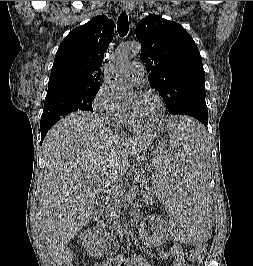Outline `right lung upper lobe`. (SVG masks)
Wrapping results in <instances>:
<instances>
[{
	"mask_svg": "<svg viewBox=\"0 0 253 266\" xmlns=\"http://www.w3.org/2000/svg\"><path fill=\"white\" fill-rule=\"evenodd\" d=\"M114 36V22L100 15L72 30L61 42L47 93L100 87L104 54Z\"/></svg>",
	"mask_w": 253,
	"mask_h": 266,
	"instance_id": "obj_1",
	"label": "right lung upper lobe"
}]
</instances>
